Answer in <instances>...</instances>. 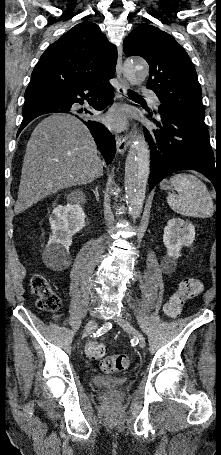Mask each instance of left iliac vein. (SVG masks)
Instances as JSON below:
<instances>
[{"label":"left iliac vein","instance_id":"obj_1","mask_svg":"<svg viewBox=\"0 0 221 455\" xmlns=\"http://www.w3.org/2000/svg\"><path fill=\"white\" fill-rule=\"evenodd\" d=\"M117 323L126 331L132 333L134 338L139 342V346L144 348L146 346V341L141 332H139L124 316L120 315L117 318Z\"/></svg>","mask_w":221,"mask_h":455}]
</instances>
